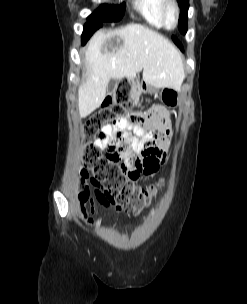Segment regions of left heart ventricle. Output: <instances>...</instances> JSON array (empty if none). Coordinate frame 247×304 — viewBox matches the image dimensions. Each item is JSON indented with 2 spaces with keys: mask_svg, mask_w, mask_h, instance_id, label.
<instances>
[{
  "mask_svg": "<svg viewBox=\"0 0 247 304\" xmlns=\"http://www.w3.org/2000/svg\"><path fill=\"white\" fill-rule=\"evenodd\" d=\"M167 20H168V25L169 26H172L174 24V22H175V12H174V10L172 8L169 9V11H168Z\"/></svg>",
  "mask_w": 247,
  "mask_h": 304,
  "instance_id": "left-heart-ventricle-1",
  "label": "left heart ventricle"
}]
</instances>
